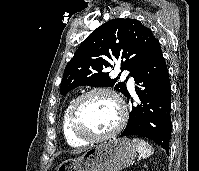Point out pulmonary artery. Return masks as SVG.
Returning <instances> with one entry per match:
<instances>
[{
	"label": "pulmonary artery",
	"mask_w": 199,
	"mask_h": 171,
	"mask_svg": "<svg viewBox=\"0 0 199 171\" xmlns=\"http://www.w3.org/2000/svg\"><path fill=\"white\" fill-rule=\"evenodd\" d=\"M130 84L133 85L134 84V80L130 79Z\"/></svg>",
	"instance_id": "obj_1"
}]
</instances>
